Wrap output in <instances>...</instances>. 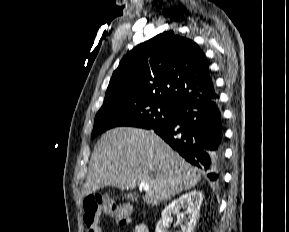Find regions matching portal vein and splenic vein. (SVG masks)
Here are the masks:
<instances>
[{
	"label": "portal vein and splenic vein",
	"instance_id": "1",
	"mask_svg": "<svg viewBox=\"0 0 289 232\" xmlns=\"http://www.w3.org/2000/svg\"><path fill=\"white\" fill-rule=\"evenodd\" d=\"M141 187H142V189L144 191H149V189H150L149 185L148 184H144V183L141 184Z\"/></svg>",
	"mask_w": 289,
	"mask_h": 232
}]
</instances>
